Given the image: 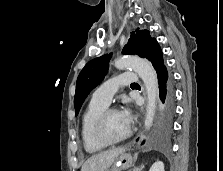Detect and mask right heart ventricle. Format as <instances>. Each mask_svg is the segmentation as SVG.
Listing matches in <instances>:
<instances>
[{
  "label": "right heart ventricle",
  "mask_w": 223,
  "mask_h": 171,
  "mask_svg": "<svg viewBox=\"0 0 223 171\" xmlns=\"http://www.w3.org/2000/svg\"><path fill=\"white\" fill-rule=\"evenodd\" d=\"M106 107L107 105H104L92 99L82 115L81 125H80V135L83 148L87 153L95 154L102 151L106 147L98 143L93 136V124L97 116Z\"/></svg>",
  "instance_id": "e07e8e85"
}]
</instances>
